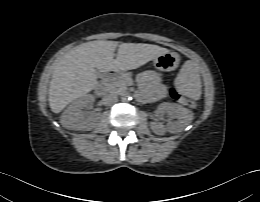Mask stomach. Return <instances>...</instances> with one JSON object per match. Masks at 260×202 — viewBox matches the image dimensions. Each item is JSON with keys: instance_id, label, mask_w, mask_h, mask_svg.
<instances>
[{"instance_id": "0dacf381", "label": "stomach", "mask_w": 260, "mask_h": 202, "mask_svg": "<svg viewBox=\"0 0 260 202\" xmlns=\"http://www.w3.org/2000/svg\"><path fill=\"white\" fill-rule=\"evenodd\" d=\"M180 57L175 52H166L157 56L153 62L156 69L160 71H172L178 67Z\"/></svg>"}]
</instances>
